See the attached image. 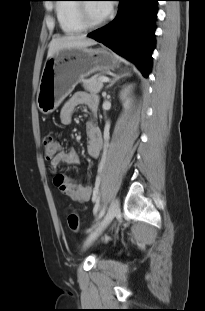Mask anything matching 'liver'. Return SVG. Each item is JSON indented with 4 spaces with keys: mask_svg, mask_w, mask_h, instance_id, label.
<instances>
[{
    "mask_svg": "<svg viewBox=\"0 0 205 311\" xmlns=\"http://www.w3.org/2000/svg\"><path fill=\"white\" fill-rule=\"evenodd\" d=\"M96 44L97 41L88 38L85 35H70L53 38L49 44L47 58L52 57L54 54L63 49L85 48Z\"/></svg>",
    "mask_w": 205,
    "mask_h": 311,
    "instance_id": "1",
    "label": "liver"
}]
</instances>
